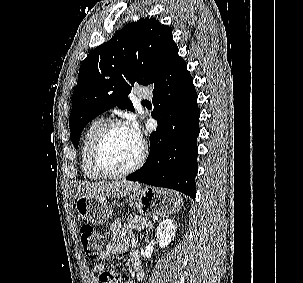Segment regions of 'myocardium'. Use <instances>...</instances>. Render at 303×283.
<instances>
[{"label":"myocardium","mask_w":303,"mask_h":283,"mask_svg":"<svg viewBox=\"0 0 303 283\" xmlns=\"http://www.w3.org/2000/svg\"><path fill=\"white\" fill-rule=\"evenodd\" d=\"M114 127H127V125L125 122H123L120 119H111L106 121L97 132L91 146L90 157H91L92 165L94 169L104 178H120L127 176L135 172L137 169H139L144 163L146 158V148L141 143L138 157L136 158V160L132 165L122 170L110 169L104 162L102 152H103L104 142L109 132Z\"/></svg>","instance_id":"obj_1"}]
</instances>
